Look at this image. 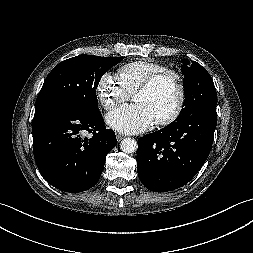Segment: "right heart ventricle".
Wrapping results in <instances>:
<instances>
[{"label": "right heart ventricle", "mask_w": 253, "mask_h": 253, "mask_svg": "<svg viewBox=\"0 0 253 253\" xmlns=\"http://www.w3.org/2000/svg\"><path fill=\"white\" fill-rule=\"evenodd\" d=\"M166 70L167 67L162 63L142 59L121 66L118 76L128 90L134 93L152 75Z\"/></svg>", "instance_id": "1"}]
</instances>
